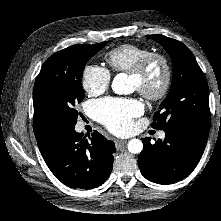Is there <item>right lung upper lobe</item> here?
<instances>
[{
  "label": "right lung upper lobe",
  "instance_id": "cb5924a9",
  "mask_svg": "<svg viewBox=\"0 0 221 221\" xmlns=\"http://www.w3.org/2000/svg\"><path fill=\"white\" fill-rule=\"evenodd\" d=\"M71 47L73 46H70L63 50H68ZM52 127H54V124L51 121L48 113L36 101H34L33 129L35 136L38 137L42 135Z\"/></svg>",
  "mask_w": 221,
  "mask_h": 221
}]
</instances>
